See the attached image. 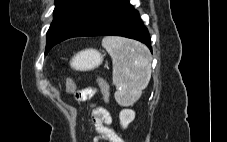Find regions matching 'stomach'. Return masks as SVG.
Masks as SVG:
<instances>
[{
  "mask_svg": "<svg viewBox=\"0 0 227 142\" xmlns=\"http://www.w3.org/2000/svg\"><path fill=\"white\" fill-rule=\"evenodd\" d=\"M103 61V56L95 49H85L72 58L70 65L79 71H88L97 68Z\"/></svg>",
  "mask_w": 227,
  "mask_h": 142,
  "instance_id": "stomach-1",
  "label": "stomach"
}]
</instances>
